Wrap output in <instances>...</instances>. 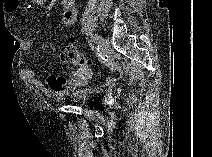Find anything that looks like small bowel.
I'll use <instances>...</instances> for the list:
<instances>
[{"instance_id": "1", "label": "small bowel", "mask_w": 212, "mask_h": 157, "mask_svg": "<svg viewBox=\"0 0 212 157\" xmlns=\"http://www.w3.org/2000/svg\"><path fill=\"white\" fill-rule=\"evenodd\" d=\"M27 6L22 0H6L5 8L12 14H17L21 9ZM77 9L74 0L62 1V23L64 25H71L76 18ZM32 43L30 41L25 42L24 49L30 50ZM24 77L33 85L38 88L44 89L49 95L53 97H62L63 95L74 91L82 87L87 79L91 77V71H88V77L84 81L72 77H65L59 75H49L45 82L39 78V71L34 68H26L23 70Z\"/></svg>"}]
</instances>
